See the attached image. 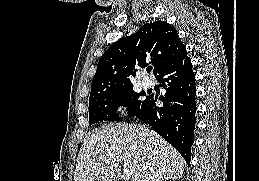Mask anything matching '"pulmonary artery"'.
<instances>
[{
    "mask_svg": "<svg viewBox=\"0 0 259 181\" xmlns=\"http://www.w3.org/2000/svg\"><path fill=\"white\" fill-rule=\"evenodd\" d=\"M141 83H142V86L144 88H146V89H148V88H150L152 86V82L150 80H148V79H143L141 81Z\"/></svg>",
    "mask_w": 259,
    "mask_h": 181,
    "instance_id": "obj_1",
    "label": "pulmonary artery"
}]
</instances>
